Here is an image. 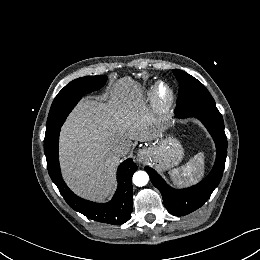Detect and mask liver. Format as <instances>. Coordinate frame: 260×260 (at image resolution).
Returning a JSON list of instances; mask_svg holds the SVG:
<instances>
[{
	"label": "liver",
	"instance_id": "liver-1",
	"mask_svg": "<svg viewBox=\"0 0 260 260\" xmlns=\"http://www.w3.org/2000/svg\"><path fill=\"white\" fill-rule=\"evenodd\" d=\"M124 86L109 103L86 98L66 123L60 140L61 164L69 186L79 195L103 201L115 187L120 157L113 146L121 142L149 141L157 130L139 100L125 96ZM132 100V101H131Z\"/></svg>",
	"mask_w": 260,
	"mask_h": 260
}]
</instances>
